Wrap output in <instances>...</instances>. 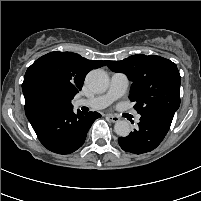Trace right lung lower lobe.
Instances as JSON below:
<instances>
[{"label": "right lung lower lobe", "instance_id": "obj_1", "mask_svg": "<svg viewBox=\"0 0 201 201\" xmlns=\"http://www.w3.org/2000/svg\"><path fill=\"white\" fill-rule=\"evenodd\" d=\"M25 114L40 142L50 151L69 154L80 148L92 123L101 115L97 112L78 114L73 106L39 102L25 107Z\"/></svg>", "mask_w": 201, "mask_h": 201}]
</instances>
